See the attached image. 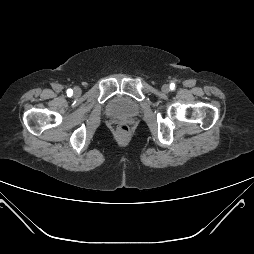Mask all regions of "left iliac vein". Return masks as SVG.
Returning a JSON list of instances; mask_svg holds the SVG:
<instances>
[{
    "mask_svg": "<svg viewBox=\"0 0 254 254\" xmlns=\"http://www.w3.org/2000/svg\"><path fill=\"white\" fill-rule=\"evenodd\" d=\"M162 91H163L164 93H168V92L170 91L169 85H167V84L163 85V86H162Z\"/></svg>",
    "mask_w": 254,
    "mask_h": 254,
    "instance_id": "1",
    "label": "left iliac vein"
}]
</instances>
